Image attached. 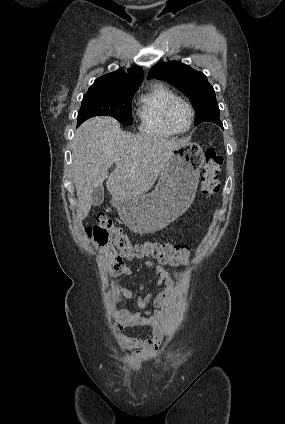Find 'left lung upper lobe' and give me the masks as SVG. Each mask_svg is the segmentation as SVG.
I'll use <instances>...</instances> for the list:
<instances>
[{
  "mask_svg": "<svg viewBox=\"0 0 285 424\" xmlns=\"http://www.w3.org/2000/svg\"><path fill=\"white\" fill-rule=\"evenodd\" d=\"M151 78L171 83L190 99L196 112L195 126L220 119L215 91L202 72L172 61L153 66L148 73V79Z\"/></svg>",
  "mask_w": 285,
  "mask_h": 424,
  "instance_id": "1",
  "label": "left lung upper lobe"
}]
</instances>
